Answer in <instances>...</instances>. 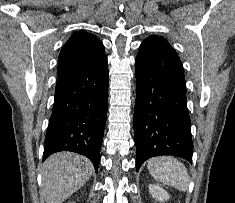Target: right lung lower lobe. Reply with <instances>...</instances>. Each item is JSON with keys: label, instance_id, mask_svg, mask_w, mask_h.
<instances>
[{"label": "right lung lower lobe", "instance_id": "right-lung-lower-lobe-1", "mask_svg": "<svg viewBox=\"0 0 235 203\" xmlns=\"http://www.w3.org/2000/svg\"><path fill=\"white\" fill-rule=\"evenodd\" d=\"M107 103L106 55L83 70L58 80L43 161L55 152L72 151L87 156L97 171Z\"/></svg>", "mask_w": 235, "mask_h": 203}]
</instances>
